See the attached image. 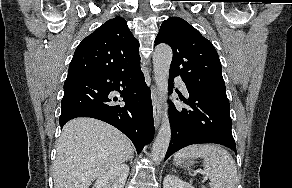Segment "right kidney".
I'll return each instance as SVG.
<instances>
[{"label":"right kidney","mask_w":292,"mask_h":188,"mask_svg":"<svg viewBox=\"0 0 292 188\" xmlns=\"http://www.w3.org/2000/svg\"><path fill=\"white\" fill-rule=\"evenodd\" d=\"M128 174V165L121 164L99 176L92 188H124Z\"/></svg>","instance_id":"obj_1"}]
</instances>
